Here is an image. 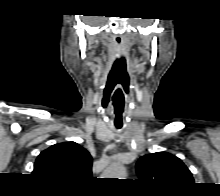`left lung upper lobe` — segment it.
Returning <instances> with one entry per match:
<instances>
[{
  "label": "left lung upper lobe",
  "instance_id": "1",
  "mask_svg": "<svg viewBox=\"0 0 220 196\" xmlns=\"http://www.w3.org/2000/svg\"><path fill=\"white\" fill-rule=\"evenodd\" d=\"M136 172L142 182L167 192L183 191L194 183L184 163L166 152L142 156L136 164Z\"/></svg>",
  "mask_w": 220,
  "mask_h": 196
}]
</instances>
